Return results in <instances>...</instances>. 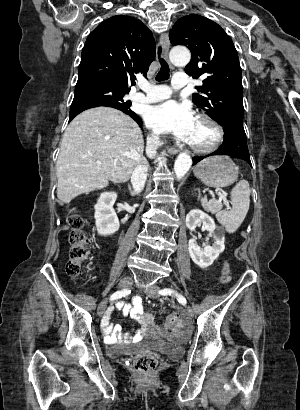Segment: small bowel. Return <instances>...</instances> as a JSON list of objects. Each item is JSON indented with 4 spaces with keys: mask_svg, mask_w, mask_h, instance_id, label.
I'll return each mask as SVG.
<instances>
[{
    "mask_svg": "<svg viewBox=\"0 0 300 410\" xmlns=\"http://www.w3.org/2000/svg\"><path fill=\"white\" fill-rule=\"evenodd\" d=\"M115 311L122 312L124 315L135 319L140 323L141 328L133 336L122 334L121 327L110 322L111 315ZM101 327L107 342L115 343L131 338L138 341L153 330L154 321L153 317L143 310L141 298L135 297L132 304L118 302L114 306L109 307L102 319Z\"/></svg>",
    "mask_w": 300,
    "mask_h": 410,
    "instance_id": "1",
    "label": "small bowel"
}]
</instances>
